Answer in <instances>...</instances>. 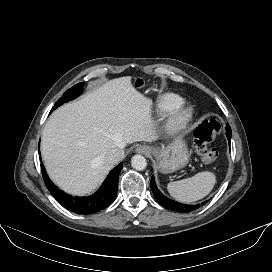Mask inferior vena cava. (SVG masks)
Wrapping results in <instances>:
<instances>
[{"label":"inferior vena cava","mask_w":272,"mask_h":272,"mask_svg":"<svg viewBox=\"0 0 272 272\" xmlns=\"http://www.w3.org/2000/svg\"><path fill=\"white\" fill-rule=\"evenodd\" d=\"M123 158V153L120 149H112L106 152L103 156V161L112 165L117 164Z\"/></svg>","instance_id":"obj_1"}]
</instances>
